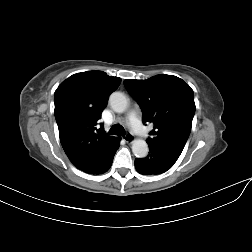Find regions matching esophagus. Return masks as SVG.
<instances>
[{
	"mask_svg": "<svg viewBox=\"0 0 252 252\" xmlns=\"http://www.w3.org/2000/svg\"><path fill=\"white\" fill-rule=\"evenodd\" d=\"M134 136L132 134H127L124 136V140L127 142V143H132L134 141Z\"/></svg>",
	"mask_w": 252,
	"mask_h": 252,
	"instance_id": "obj_1",
	"label": "esophagus"
}]
</instances>
